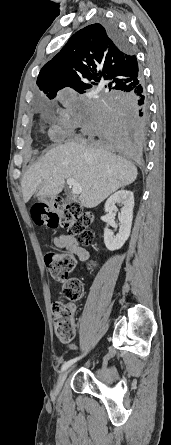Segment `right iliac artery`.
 <instances>
[{"mask_svg": "<svg viewBox=\"0 0 171 445\" xmlns=\"http://www.w3.org/2000/svg\"><path fill=\"white\" fill-rule=\"evenodd\" d=\"M81 357H76V358H74V359H71V360H69V361H67V362H65L64 364H63V366H62V368H61V373L64 371V370H66L69 366H71L73 363H75L77 360H79Z\"/></svg>", "mask_w": 171, "mask_h": 445, "instance_id": "right-iliac-artery-1", "label": "right iliac artery"}]
</instances>
